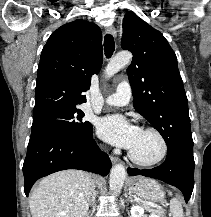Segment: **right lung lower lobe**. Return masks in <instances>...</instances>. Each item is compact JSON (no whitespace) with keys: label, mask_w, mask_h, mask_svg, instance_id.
Listing matches in <instances>:
<instances>
[{"label":"right lung lower lobe","mask_w":211,"mask_h":217,"mask_svg":"<svg viewBox=\"0 0 211 217\" xmlns=\"http://www.w3.org/2000/svg\"><path fill=\"white\" fill-rule=\"evenodd\" d=\"M112 163L97 146L92 135L78 141L54 132L31 133L23 164L24 191L28 196L33 184L51 173L79 169L105 176Z\"/></svg>","instance_id":"right-lung-lower-lobe-1"}]
</instances>
